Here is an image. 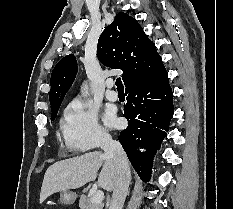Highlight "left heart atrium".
Here are the masks:
<instances>
[{
	"label": "left heart atrium",
	"mask_w": 233,
	"mask_h": 209,
	"mask_svg": "<svg viewBox=\"0 0 233 209\" xmlns=\"http://www.w3.org/2000/svg\"><path fill=\"white\" fill-rule=\"evenodd\" d=\"M104 120L109 126H113L117 123L114 113L110 110L105 113Z\"/></svg>",
	"instance_id": "39dd6f15"
}]
</instances>
